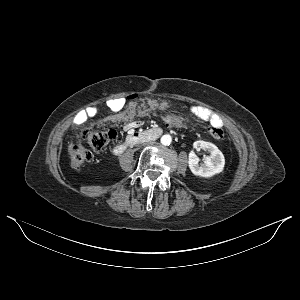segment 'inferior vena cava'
I'll list each match as a JSON object with an SVG mask.
<instances>
[{
	"label": "inferior vena cava",
	"mask_w": 300,
	"mask_h": 300,
	"mask_svg": "<svg viewBox=\"0 0 300 300\" xmlns=\"http://www.w3.org/2000/svg\"><path fill=\"white\" fill-rule=\"evenodd\" d=\"M155 140L154 139H148V140H143L142 144L143 145H149V144H154Z\"/></svg>",
	"instance_id": "obj_1"
}]
</instances>
